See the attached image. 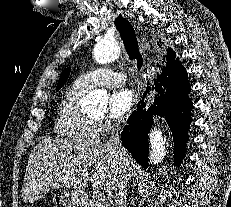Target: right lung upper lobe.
Masks as SVG:
<instances>
[{"label":"right lung upper lobe","instance_id":"cb5924a9","mask_svg":"<svg viewBox=\"0 0 231 207\" xmlns=\"http://www.w3.org/2000/svg\"><path fill=\"white\" fill-rule=\"evenodd\" d=\"M168 55H175L174 52L170 51V49L167 51Z\"/></svg>","mask_w":231,"mask_h":207}]
</instances>
